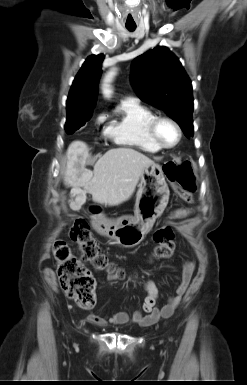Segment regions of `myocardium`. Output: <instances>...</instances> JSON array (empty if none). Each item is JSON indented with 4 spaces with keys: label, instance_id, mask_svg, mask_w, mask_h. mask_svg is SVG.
Here are the masks:
<instances>
[{
    "label": "myocardium",
    "instance_id": "1",
    "mask_svg": "<svg viewBox=\"0 0 247 385\" xmlns=\"http://www.w3.org/2000/svg\"><path fill=\"white\" fill-rule=\"evenodd\" d=\"M162 122H168L170 123L171 125L174 126V128L176 129L177 131V134H178V137H177V140L174 144L172 145H166L164 144L159 136H158V127H159V124L162 123ZM148 134L150 136V138L152 139V141L160 148V149H173L175 148L181 141L182 139V129L180 127V125L178 124V122L176 120H174L173 118L169 117V116H163V115H155L149 122L148 124Z\"/></svg>",
    "mask_w": 247,
    "mask_h": 385
}]
</instances>
